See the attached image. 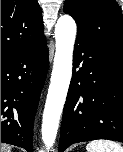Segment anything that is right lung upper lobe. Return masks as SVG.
Returning <instances> with one entry per match:
<instances>
[{
    "instance_id": "cb5924a9",
    "label": "right lung upper lobe",
    "mask_w": 123,
    "mask_h": 152,
    "mask_svg": "<svg viewBox=\"0 0 123 152\" xmlns=\"http://www.w3.org/2000/svg\"><path fill=\"white\" fill-rule=\"evenodd\" d=\"M43 28L37 0H1V55L34 45Z\"/></svg>"
}]
</instances>
